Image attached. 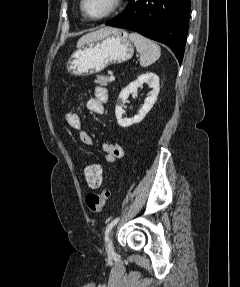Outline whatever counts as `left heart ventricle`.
I'll list each match as a JSON object with an SVG mask.
<instances>
[{
	"mask_svg": "<svg viewBox=\"0 0 240 287\" xmlns=\"http://www.w3.org/2000/svg\"><path fill=\"white\" fill-rule=\"evenodd\" d=\"M112 0H86V10L90 16H100L108 11Z\"/></svg>",
	"mask_w": 240,
	"mask_h": 287,
	"instance_id": "1",
	"label": "left heart ventricle"
}]
</instances>
